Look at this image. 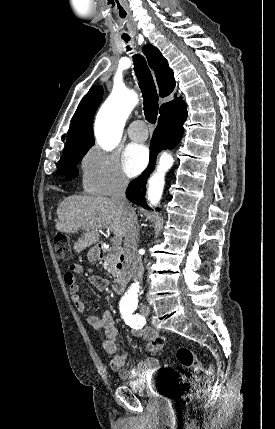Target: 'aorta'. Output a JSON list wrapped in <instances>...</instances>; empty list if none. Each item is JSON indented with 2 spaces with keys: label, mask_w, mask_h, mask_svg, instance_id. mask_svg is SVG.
Masks as SVG:
<instances>
[{
  "label": "aorta",
  "mask_w": 275,
  "mask_h": 429,
  "mask_svg": "<svg viewBox=\"0 0 275 429\" xmlns=\"http://www.w3.org/2000/svg\"><path fill=\"white\" fill-rule=\"evenodd\" d=\"M136 103L133 93L114 92L100 109L96 119V137L99 145L105 150L113 149L121 138L126 119ZM172 159L166 156L157 171L149 179L148 199L152 205L159 203L166 170L171 166ZM135 286H132L123 300L132 303L135 300Z\"/></svg>",
  "instance_id": "obj_1"
}]
</instances>
